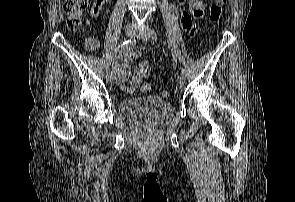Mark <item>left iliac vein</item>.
Listing matches in <instances>:
<instances>
[{"label": "left iliac vein", "instance_id": "obj_1", "mask_svg": "<svg viewBox=\"0 0 295 202\" xmlns=\"http://www.w3.org/2000/svg\"><path fill=\"white\" fill-rule=\"evenodd\" d=\"M138 36L143 40V41H149L150 40V30L149 29H138L137 31ZM178 82L180 85L184 84L185 82V77L183 75L178 76Z\"/></svg>", "mask_w": 295, "mask_h": 202}]
</instances>
